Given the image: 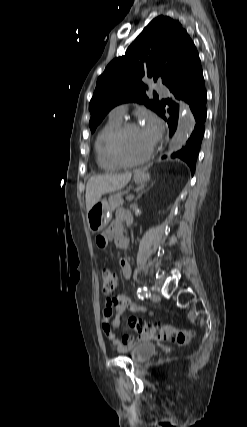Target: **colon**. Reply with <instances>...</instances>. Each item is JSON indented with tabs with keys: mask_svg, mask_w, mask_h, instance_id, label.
Here are the masks:
<instances>
[{
	"mask_svg": "<svg viewBox=\"0 0 247 427\" xmlns=\"http://www.w3.org/2000/svg\"><path fill=\"white\" fill-rule=\"evenodd\" d=\"M101 283L105 294L112 293L118 284L116 274L104 269L101 273ZM128 325L146 339L172 341L178 345L188 344L194 335L191 330L179 329L172 325H153L135 317L129 319Z\"/></svg>",
	"mask_w": 247,
	"mask_h": 427,
	"instance_id": "1",
	"label": "colon"
}]
</instances>
